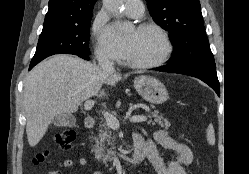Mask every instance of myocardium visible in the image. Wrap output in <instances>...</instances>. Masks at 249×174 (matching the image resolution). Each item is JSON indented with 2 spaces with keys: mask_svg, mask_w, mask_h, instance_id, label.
Segmentation results:
<instances>
[{
  "mask_svg": "<svg viewBox=\"0 0 249 174\" xmlns=\"http://www.w3.org/2000/svg\"><path fill=\"white\" fill-rule=\"evenodd\" d=\"M136 30L138 31L154 30L158 32L166 44V51L164 55L156 61L145 62V63L127 61L126 63L129 66L133 68H137V69H152V68H157V67L164 65L166 62L170 60L174 52V45L168 32L163 27L153 22H144V23L139 24L136 27Z\"/></svg>",
  "mask_w": 249,
  "mask_h": 174,
  "instance_id": "f54148a6",
  "label": "myocardium"
}]
</instances>
